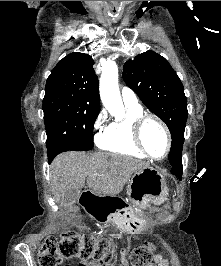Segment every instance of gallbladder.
<instances>
[{
  "mask_svg": "<svg viewBox=\"0 0 221 266\" xmlns=\"http://www.w3.org/2000/svg\"><path fill=\"white\" fill-rule=\"evenodd\" d=\"M80 193L79 189H68L62 196L61 203L66 206L74 204L78 200Z\"/></svg>",
  "mask_w": 221,
  "mask_h": 266,
  "instance_id": "bac80fb5",
  "label": "gallbladder"
}]
</instances>
